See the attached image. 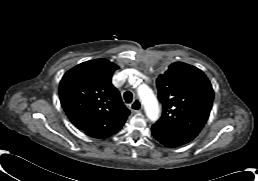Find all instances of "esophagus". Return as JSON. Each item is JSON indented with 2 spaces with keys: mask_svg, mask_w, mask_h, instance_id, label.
I'll return each mask as SVG.
<instances>
[{
  "mask_svg": "<svg viewBox=\"0 0 258 181\" xmlns=\"http://www.w3.org/2000/svg\"><path fill=\"white\" fill-rule=\"evenodd\" d=\"M131 110L135 113H138L142 110V103L139 99H135L131 104Z\"/></svg>",
  "mask_w": 258,
  "mask_h": 181,
  "instance_id": "esophagus-1",
  "label": "esophagus"
}]
</instances>
